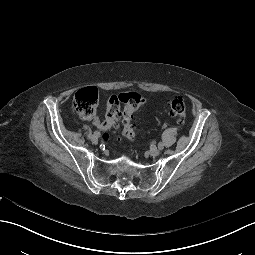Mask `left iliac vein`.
I'll return each instance as SVG.
<instances>
[{
	"mask_svg": "<svg viewBox=\"0 0 255 255\" xmlns=\"http://www.w3.org/2000/svg\"><path fill=\"white\" fill-rule=\"evenodd\" d=\"M160 154V149L158 148H153L150 150V155L153 156V157H156Z\"/></svg>",
	"mask_w": 255,
	"mask_h": 255,
	"instance_id": "4c4485c4",
	"label": "left iliac vein"
}]
</instances>
